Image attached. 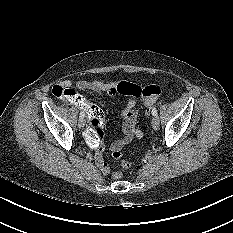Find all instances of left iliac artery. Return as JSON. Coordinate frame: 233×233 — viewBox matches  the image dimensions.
<instances>
[{
  "instance_id": "obj_1",
  "label": "left iliac artery",
  "mask_w": 233,
  "mask_h": 233,
  "mask_svg": "<svg viewBox=\"0 0 233 233\" xmlns=\"http://www.w3.org/2000/svg\"><path fill=\"white\" fill-rule=\"evenodd\" d=\"M152 115H153V116H157V109H156V108H153V109H152Z\"/></svg>"
}]
</instances>
